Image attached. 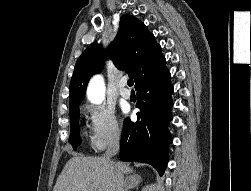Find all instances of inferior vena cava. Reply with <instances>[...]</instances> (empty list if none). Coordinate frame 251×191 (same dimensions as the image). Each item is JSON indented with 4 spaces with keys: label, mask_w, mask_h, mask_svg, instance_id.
<instances>
[{
    "label": "inferior vena cava",
    "mask_w": 251,
    "mask_h": 191,
    "mask_svg": "<svg viewBox=\"0 0 251 191\" xmlns=\"http://www.w3.org/2000/svg\"><path fill=\"white\" fill-rule=\"evenodd\" d=\"M120 135L121 131L120 129H117L104 153V159H110L112 155H116V153H118L120 147ZM116 179L119 183L118 189H116V191H125L123 187L124 181L122 175H117Z\"/></svg>",
    "instance_id": "602c4592"
}]
</instances>
